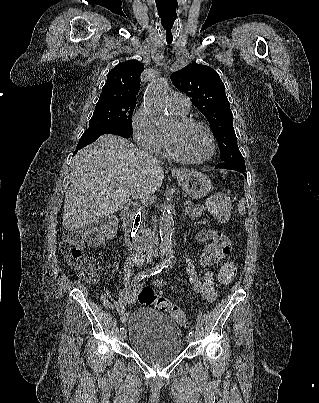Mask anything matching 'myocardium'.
I'll use <instances>...</instances> for the list:
<instances>
[{
  "label": "myocardium",
  "instance_id": "myocardium-1",
  "mask_svg": "<svg viewBox=\"0 0 319 403\" xmlns=\"http://www.w3.org/2000/svg\"><path fill=\"white\" fill-rule=\"evenodd\" d=\"M177 124L180 129H185V128H188L191 126H199V127L203 128L206 131V133L208 134L209 139H210V152L205 158L200 159V160H193V159L187 158L179 150L176 140L172 136L167 135V139H168V143H169V147H170L172 156L180 162H183L186 164H191V165H200V164H204V163L210 161L213 158L215 151H216V139H215L214 133L211 130V128L206 123H204L200 120H197V119H193V118H179L177 120Z\"/></svg>",
  "mask_w": 319,
  "mask_h": 403
}]
</instances>
